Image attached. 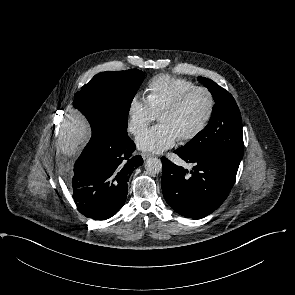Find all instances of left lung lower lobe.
<instances>
[{
	"mask_svg": "<svg viewBox=\"0 0 295 295\" xmlns=\"http://www.w3.org/2000/svg\"><path fill=\"white\" fill-rule=\"evenodd\" d=\"M184 161L193 163L188 170L165 157L162 161V192L166 202L180 215L201 219L214 212L228 197L239 167L238 163L218 154H183Z\"/></svg>",
	"mask_w": 295,
	"mask_h": 295,
	"instance_id": "0a47b994",
	"label": "left lung lower lobe"
}]
</instances>
